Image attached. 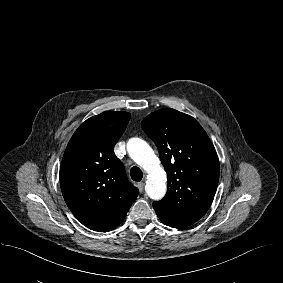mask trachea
I'll list each match as a JSON object with an SVG mask.
<instances>
[{
  "label": "trachea",
  "mask_w": 283,
  "mask_h": 283,
  "mask_svg": "<svg viewBox=\"0 0 283 283\" xmlns=\"http://www.w3.org/2000/svg\"><path fill=\"white\" fill-rule=\"evenodd\" d=\"M132 180L139 182L142 179L143 173L140 168L134 166L130 170Z\"/></svg>",
  "instance_id": "obj_1"
}]
</instances>
